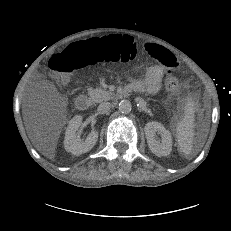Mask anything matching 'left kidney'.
I'll list each match as a JSON object with an SVG mask.
<instances>
[{
	"instance_id": "5707ae66",
	"label": "left kidney",
	"mask_w": 231,
	"mask_h": 231,
	"mask_svg": "<svg viewBox=\"0 0 231 231\" xmlns=\"http://www.w3.org/2000/svg\"><path fill=\"white\" fill-rule=\"evenodd\" d=\"M148 146L152 153L156 156H167L172 150V137L170 132L159 122H148L144 127ZM161 136V139L156 137Z\"/></svg>"
}]
</instances>
